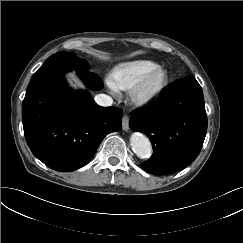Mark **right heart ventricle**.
Instances as JSON below:
<instances>
[{"mask_svg":"<svg viewBox=\"0 0 243 243\" xmlns=\"http://www.w3.org/2000/svg\"><path fill=\"white\" fill-rule=\"evenodd\" d=\"M159 65L151 60H135L122 63L114 68L110 75V83L118 90L131 89L147 73L158 68Z\"/></svg>","mask_w":243,"mask_h":243,"instance_id":"obj_1","label":"right heart ventricle"}]
</instances>
